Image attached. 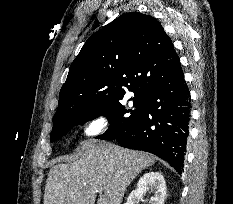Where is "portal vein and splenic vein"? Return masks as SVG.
<instances>
[{
  "mask_svg": "<svg viewBox=\"0 0 233 204\" xmlns=\"http://www.w3.org/2000/svg\"><path fill=\"white\" fill-rule=\"evenodd\" d=\"M103 189L102 188H99L98 191H102Z\"/></svg>",
  "mask_w": 233,
  "mask_h": 204,
  "instance_id": "obj_1",
  "label": "portal vein and splenic vein"
}]
</instances>
